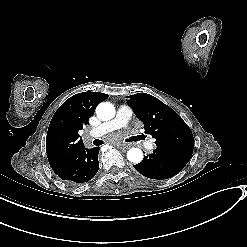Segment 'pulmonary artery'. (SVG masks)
I'll list each match as a JSON object with an SVG mask.
<instances>
[{
    "instance_id": "obj_1",
    "label": "pulmonary artery",
    "mask_w": 247,
    "mask_h": 247,
    "mask_svg": "<svg viewBox=\"0 0 247 247\" xmlns=\"http://www.w3.org/2000/svg\"><path fill=\"white\" fill-rule=\"evenodd\" d=\"M133 115V110L128 105H120L116 111L115 118L110 121L100 125L90 126L88 128V133L90 135L108 133L109 131H115L119 127L126 126ZM88 140L91 136L86 137ZM156 148L155 139H148L144 143V149L151 153Z\"/></svg>"
}]
</instances>
